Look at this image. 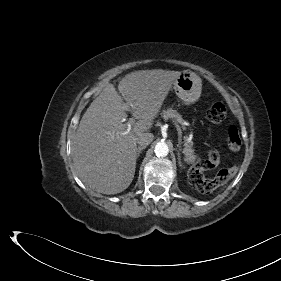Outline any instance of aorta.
<instances>
[{"instance_id": "762f6f07", "label": "aorta", "mask_w": 281, "mask_h": 281, "mask_svg": "<svg viewBox=\"0 0 281 281\" xmlns=\"http://www.w3.org/2000/svg\"><path fill=\"white\" fill-rule=\"evenodd\" d=\"M154 151H155L156 156H158V157H165L169 153V148H168V145L166 143L158 142L155 145V150Z\"/></svg>"}]
</instances>
